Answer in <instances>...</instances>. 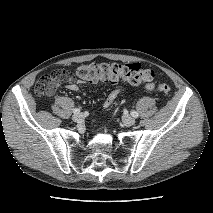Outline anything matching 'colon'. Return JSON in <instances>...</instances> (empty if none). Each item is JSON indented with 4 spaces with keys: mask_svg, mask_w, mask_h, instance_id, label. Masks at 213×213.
I'll return each instance as SVG.
<instances>
[{
    "mask_svg": "<svg viewBox=\"0 0 213 213\" xmlns=\"http://www.w3.org/2000/svg\"><path fill=\"white\" fill-rule=\"evenodd\" d=\"M76 75L82 81L87 82H107L114 84L127 82L131 85H145L150 91L163 93L171 91V87L166 83L154 84V72L139 63H90L80 66ZM68 79H71V75L66 70H57L51 74L44 75L36 85V93L38 96H43L52 83ZM118 95L119 90H113L106 100V107H110L116 101Z\"/></svg>",
    "mask_w": 213,
    "mask_h": 213,
    "instance_id": "5ec220e1",
    "label": "colon"
}]
</instances>
